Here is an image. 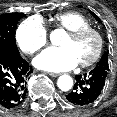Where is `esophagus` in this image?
Segmentation results:
<instances>
[{"mask_svg":"<svg viewBox=\"0 0 117 117\" xmlns=\"http://www.w3.org/2000/svg\"><path fill=\"white\" fill-rule=\"evenodd\" d=\"M48 74L52 77H57L60 75L59 73H54V72H49Z\"/></svg>","mask_w":117,"mask_h":117,"instance_id":"esophagus-1","label":"esophagus"}]
</instances>
